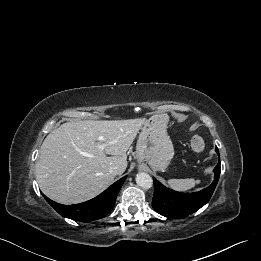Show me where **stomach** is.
Instances as JSON below:
<instances>
[{
  "label": "stomach",
  "instance_id": "obj_1",
  "mask_svg": "<svg viewBox=\"0 0 261 261\" xmlns=\"http://www.w3.org/2000/svg\"><path fill=\"white\" fill-rule=\"evenodd\" d=\"M168 116L153 115L145 121L136 146L137 159L146 162L154 171H164L174 156V148L167 134Z\"/></svg>",
  "mask_w": 261,
  "mask_h": 261
}]
</instances>
